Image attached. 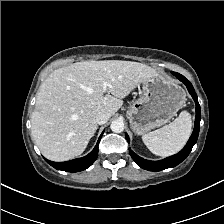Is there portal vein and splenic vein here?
<instances>
[{"mask_svg":"<svg viewBox=\"0 0 224 224\" xmlns=\"http://www.w3.org/2000/svg\"><path fill=\"white\" fill-rule=\"evenodd\" d=\"M107 86H108V84L105 82V83L103 84V89H104V91L106 90Z\"/></svg>","mask_w":224,"mask_h":224,"instance_id":"portal-vein-and-splenic-vein-1","label":"portal vein and splenic vein"}]
</instances>
